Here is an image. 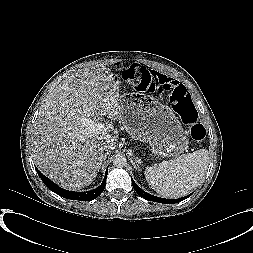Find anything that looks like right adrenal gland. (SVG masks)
Segmentation results:
<instances>
[{
  "mask_svg": "<svg viewBox=\"0 0 253 253\" xmlns=\"http://www.w3.org/2000/svg\"><path fill=\"white\" fill-rule=\"evenodd\" d=\"M109 155V151L105 153L104 159L103 161H105L107 159V156ZM102 164V163H101Z\"/></svg>",
  "mask_w": 253,
  "mask_h": 253,
  "instance_id": "right-adrenal-gland-1",
  "label": "right adrenal gland"
}]
</instances>
